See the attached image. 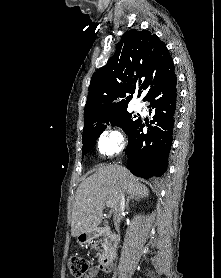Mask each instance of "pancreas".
Wrapping results in <instances>:
<instances>
[{"label":"pancreas","instance_id":"pancreas-1","mask_svg":"<svg viewBox=\"0 0 221 278\" xmlns=\"http://www.w3.org/2000/svg\"><path fill=\"white\" fill-rule=\"evenodd\" d=\"M101 244H102V247H104V249H105L106 247H108V245H109L108 242H102ZM97 249H98V248H97ZM98 254H99V253H98Z\"/></svg>","mask_w":221,"mask_h":278}]
</instances>
